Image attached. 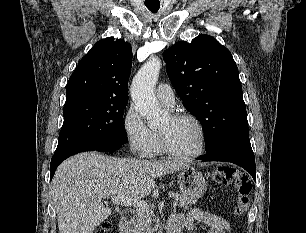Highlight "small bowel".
I'll return each mask as SVG.
<instances>
[{"label":"small bowel","instance_id":"c3829d8e","mask_svg":"<svg viewBox=\"0 0 306 233\" xmlns=\"http://www.w3.org/2000/svg\"><path fill=\"white\" fill-rule=\"evenodd\" d=\"M195 222L209 226L208 233H232L230 224L222 217L198 209H193L184 214L175 215L170 220V225L192 230Z\"/></svg>","mask_w":306,"mask_h":233}]
</instances>
